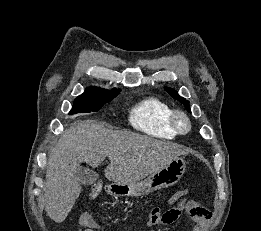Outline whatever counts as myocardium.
<instances>
[{"label":"myocardium","instance_id":"1","mask_svg":"<svg viewBox=\"0 0 261 231\" xmlns=\"http://www.w3.org/2000/svg\"><path fill=\"white\" fill-rule=\"evenodd\" d=\"M170 122L177 134H187L192 128L189 116L181 110L172 111Z\"/></svg>","mask_w":261,"mask_h":231}]
</instances>
